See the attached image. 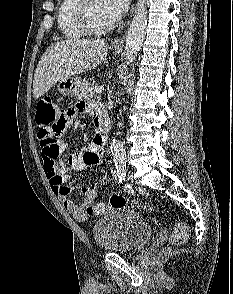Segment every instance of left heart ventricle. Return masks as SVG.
I'll return each mask as SVG.
<instances>
[{"label":"left heart ventricle","instance_id":"left-heart-ventricle-1","mask_svg":"<svg viewBox=\"0 0 233 294\" xmlns=\"http://www.w3.org/2000/svg\"><path fill=\"white\" fill-rule=\"evenodd\" d=\"M91 16L96 26H105L114 21L107 12L103 0H91Z\"/></svg>","mask_w":233,"mask_h":294}]
</instances>
